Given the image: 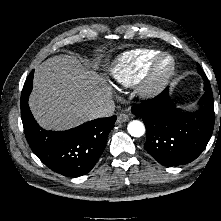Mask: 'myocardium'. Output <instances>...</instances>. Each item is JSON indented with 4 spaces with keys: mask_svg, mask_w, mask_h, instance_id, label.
Returning a JSON list of instances; mask_svg holds the SVG:
<instances>
[{
    "mask_svg": "<svg viewBox=\"0 0 221 221\" xmlns=\"http://www.w3.org/2000/svg\"><path fill=\"white\" fill-rule=\"evenodd\" d=\"M167 62L164 68V63ZM176 72V61L168 53H160L150 64L138 82L137 93L142 98H151L161 93L171 82Z\"/></svg>",
    "mask_w": 221,
    "mask_h": 221,
    "instance_id": "obj_1",
    "label": "myocardium"
}]
</instances>
